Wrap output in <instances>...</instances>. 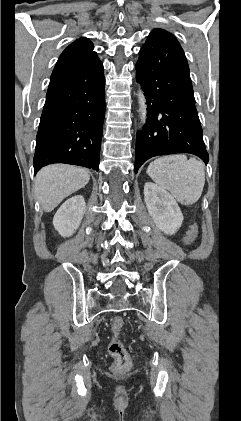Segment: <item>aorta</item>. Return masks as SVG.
Returning <instances> with one entry per match:
<instances>
[{"instance_id":"762f6f07","label":"aorta","mask_w":241,"mask_h":421,"mask_svg":"<svg viewBox=\"0 0 241 421\" xmlns=\"http://www.w3.org/2000/svg\"><path fill=\"white\" fill-rule=\"evenodd\" d=\"M138 104H139V113L142 123H145L146 114H147V105H146V98L144 96V92L141 89V86L138 88Z\"/></svg>"}]
</instances>
